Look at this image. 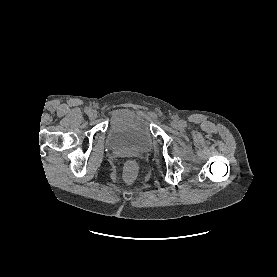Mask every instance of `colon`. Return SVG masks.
<instances>
[{
	"instance_id": "obj_1",
	"label": "colon",
	"mask_w": 277,
	"mask_h": 277,
	"mask_svg": "<svg viewBox=\"0 0 277 277\" xmlns=\"http://www.w3.org/2000/svg\"><path fill=\"white\" fill-rule=\"evenodd\" d=\"M138 174V166L135 161L129 160L124 164L122 177L125 183H132Z\"/></svg>"
}]
</instances>
